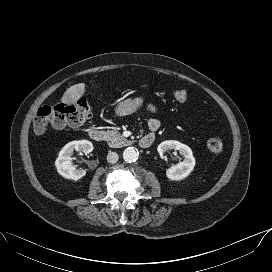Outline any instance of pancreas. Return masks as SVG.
<instances>
[{
	"label": "pancreas",
	"mask_w": 272,
	"mask_h": 272,
	"mask_svg": "<svg viewBox=\"0 0 272 272\" xmlns=\"http://www.w3.org/2000/svg\"><path fill=\"white\" fill-rule=\"evenodd\" d=\"M105 140L107 141V144L113 148H120L129 143V141L116 129L107 130L105 132Z\"/></svg>",
	"instance_id": "1"
}]
</instances>
